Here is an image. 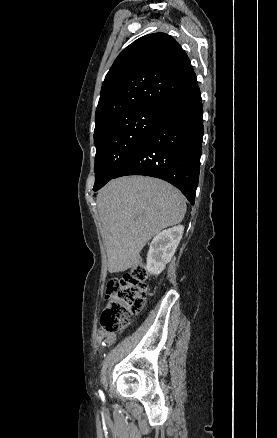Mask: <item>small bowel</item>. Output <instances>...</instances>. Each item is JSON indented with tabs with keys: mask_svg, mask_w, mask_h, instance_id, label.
<instances>
[{
	"mask_svg": "<svg viewBox=\"0 0 277 438\" xmlns=\"http://www.w3.org/2000/svg\"><path fill=\"white\" fill-rule=\"evenodd\" d=\"M98 343H105L106 345H112L116 341V334L114 333H106L100 331L97 336Z\"/></svg>",
	"mask_w": 277,
	"mask_h": 438,
	"instance_id": "obj_1",
	"label": "small bowel"
}]
</instances>
